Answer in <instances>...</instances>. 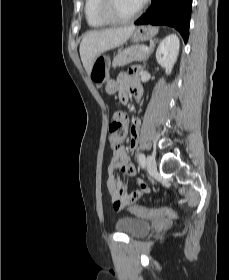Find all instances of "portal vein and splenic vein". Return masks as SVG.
I'll return each mask as SVG.
<instances>
[{
  "mask_svg": "<svg viewBox=\"0 0 229 280\" xmlns=\"http://www.w3.org/2000/svg\"><path fill=\"white\" fill-rule=\"evenodd\" d=\"M141 51H142V52H149V48H147V47H142V48H141Z\"/></svg>",
  "mask_w": 229,
  "mask_h": 280,
  "instance_id": "18ae733b",
  "label": "portal vein and splenic vein"
}]
</instances>
